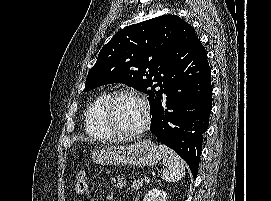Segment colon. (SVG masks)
I'll use <instances>...</instances> for the list:
<instances>
[{
    "instance_id": "5ec220e1",
    "label": "colon",
    "mask_w": 271,
    "mask_h": 201,
    "mask_svg": "<svg viewBox=\"0 0 271 201\" xmlns=\"http://www.w3.org/2000/svg\"><path fill=\"white\" fill-rule=\"evenodd\" d=\"M88 189V177L84 170L78 172L76 182H75V191L77 194H84Z\"/></svg>"
}]
</instances>
